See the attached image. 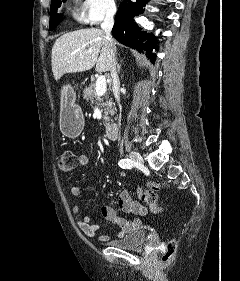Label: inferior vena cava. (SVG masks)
I'll return each mask as SVG.
<instances>
[{"label": "inferior vena cava", "mask_w": 240, "mask_h": 281, "mask_svg": "<svg viewBox=\"0 0 240 281\" xmlns=\"http://www.w3.org/2000/svg\"><path fill=\"white\" fill-rule=\"evenodd\" d=\"M116 13V7L111 6L107 9L105 19L103 23L101 24V28L105 33L106 39L110 44V60H111V79H112V90L115 99L119 102L120 101V82H119V77L117 74V69H116V61H115V52L116 49L114 47V41L111 36V30L114 25V15Z\"/></svg>", "instance_id": "obj_1"}]
</instances>
